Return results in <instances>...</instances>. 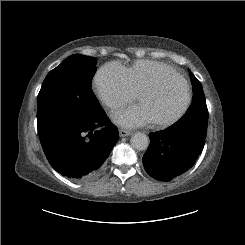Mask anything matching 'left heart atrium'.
<instances>
[{"label": "left heart atrium", "mask_w": 245, "mask_h": 245, "mask_svg": "<svg viewBox=\"0 0 245 245\" xmlns=\"http://www.w3.org/2000/svg\"><path fill=\"white\" fill-rule=\"evenodd\" d=\"M112 119L114 123L127 129L143 127L153 123L151 115L141 103L114 113Z\"/></svg>", "instance_id": "obj_1"}]
</instances>
